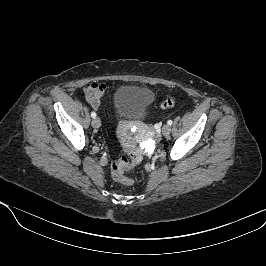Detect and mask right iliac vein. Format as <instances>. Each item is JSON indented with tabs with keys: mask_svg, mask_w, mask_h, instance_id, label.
<instances>
[{
	"mask_svg": "<svg viewBox=\"0 0 266 266\" xmlns=\"http://www.w3.org/2000/svg\"><path fill=\"white\" fill-rule=\"evenodd\" d=\"M92 126L94 128H99L101 126V121L98 117H95L93 120H92Z\"/></svg>",
	"mask_w": 266,
	"mask_h": 266,
	"instance_id": "1",
	"label": "right iliac vein"
}]
</instances>
